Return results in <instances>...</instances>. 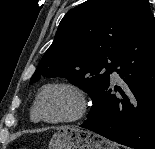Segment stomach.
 Here are the masks:
<instances>
[{"mask_svg":"<svg viewBox=\"0 0 155 149\" xmlns=\"http://www.w3.org/2000/svg\"><path fill=\"white\" fill-rule=\"evenodd\" d=\"M49 149H118L104 137L77 127H61L52 136Z\"/></svg>","mask_w":155,"mask_h":149,"instance_id":"0dacf381","label":"stomach"}]
</instances>
